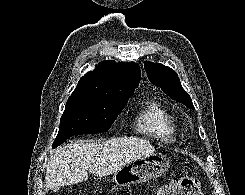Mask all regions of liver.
I'll use <instances>...</instances> for the list:
<instances>
[{
    "instance_id": "obj_1",
    "label": "liver",
    "mask_w": 245,
    "mask_h": 195,
    "mask_svg": "<svg viewBox=\"0 0 245 195\" xmlns=\"http://www.w3.org/2000/svg\"><path fill=\"white\" fill-rule=\"evenodd\" d=\"M155 149L142 138H112L105 142L74 141L57 149L47 165L45 188L81 183L88 173L102 177L115 173L126 164L151 156Z\"/></svg>"
}]
</instances>
